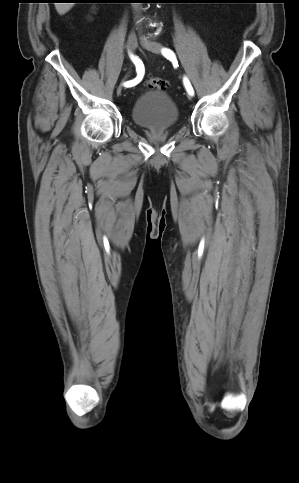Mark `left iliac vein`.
Wrapping results in <instances>:
<instances>
[{
	"label": "left iliac vein",
	"mask_w": 299,
	"mask_h": 483,
	"mask_svg": "<svg viewBox=\"0 0 299 483\" xmlns=\"http://www.w3.org/2000/svg\"><path fill=\"white\" fill-rule=\"evenodd\" d=\"M142 45L149 51L153 52V53H156V54H160L161 53V49H162V46L161 44L157 43V42H152V41H145L143 40L142 41Z\"/></svg>",
	"instance_id": "obj_1"
}]
</instances>
